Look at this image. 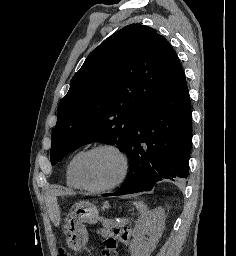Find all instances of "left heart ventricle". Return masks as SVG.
<instances>
[{
  "label": "left heart ventricle",
  "instance_id": "1",
  "mask_svg": "<svg viewBox=\"0 0 236 256\" xmlns=\"http://www.w3.org/2000/svg\"><path fill=\"white\" fill-rule=\"evenodd\" d=\"M121 160L111 150H100L89 155L83 164V176L91 187H104L112 184L120 175Z\"/></svg>",
  "mask_w": 236,
  "mask_h": 256
}]
</instances>
